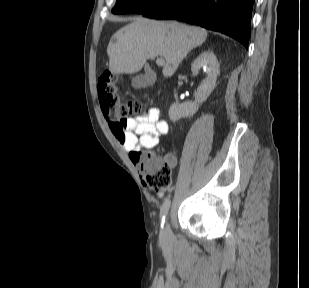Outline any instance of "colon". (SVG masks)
I'll use <instances>...</instances> for the list:
<instances>
[{
    "mask_svg": "<svg viewBox=\"0 0 309 288\" xmlns=\"http://www.w3.org/2000/svg\"><path fill=\"white\" fill-rule=\"evenodd\" d=\"M101 108L111 123L124 122L132 115L147 114L148 110L138 100L121 102L118 98L119 82L114 73L104 70L97 80ZM145 188L160 193L171 188L173 164L160 150L138 151L132 155Z\"/></svg>",
    "mask_w": 309,
    "mask_h": 288,
    "instance_id": "1",
    "label": "colon"
}]
</instances>
